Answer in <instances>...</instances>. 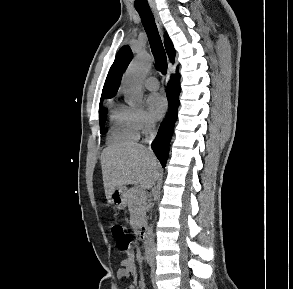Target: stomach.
I'll list each match as a JSON object with an SVG mask.
<instances>
[{"label": "stomach", "mask_w": 293, "mask_h": 289, "mask_svg": "<svg viewBox=\"0 0 293 289\" xmlns=\"http://www.w3.org/2000/svg\"><path fill=\"white\" fill-rule=\"evenodd\" d=\"M127 188L125 186L116 187L113 192L107 196L108 203L115 208L122 210L127 204Z\"/></svg>", "instance_id": "obj_1"}]
</instances>
